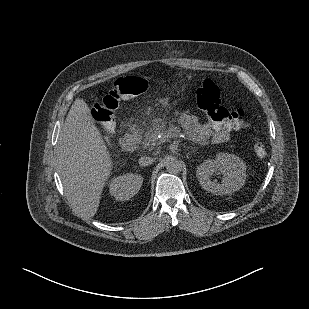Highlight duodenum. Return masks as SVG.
<instances>
[{
	"instance_id": "1",
	"label": "duodenum",
	"mask_w": 309,
	"mask_h": 309,
	"mask_svg": "<svg viewBox=\"0 0 309 309\" xmlns=\"http://www.w3.org/2000/svg\"><path fill=\"white\" fill-rule=\"evenodd\" d=\"M138 141V131L135 128H131L122 136L120 144L121 147L126 150H132Z\"/></svg>"
}]
</instances>
